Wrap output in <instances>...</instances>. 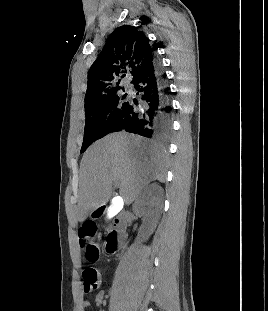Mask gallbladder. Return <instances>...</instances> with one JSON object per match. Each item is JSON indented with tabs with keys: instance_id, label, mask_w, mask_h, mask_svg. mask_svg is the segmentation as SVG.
I'll list each match as a JSON object with an SVG mask.
<instances>
[{
	"instance_id": "bac80fb5",
	"label": "gallbladder",
	"mask_w": 268,
	"mask_h": 311,
	"mask_svg": "<svg viewBox=\"0 0 268 311\" xmlns=\"http://www.w3.org/2000/svg\"><path fill=\"white\" fill-rule=\"evenodd\" d=\"M125 204L124 199H111L110 202H107V219L113 220L118 213H120L121 208H123Z\"/></svg>"
}]
</instances>
